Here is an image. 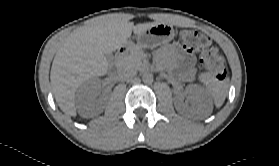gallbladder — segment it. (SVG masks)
I'll use <instances>...</instances> for the list:
<instances>
[{
  "mask_svg": "<svg viewBox=\"0 0 279 166\" xmlns=\"http://www.w3.org/2000/svg\"><path fill=\"white\" fill-rule=\"evenodd\" d=\"M105 58H106V60L109 62V63H111V62H113V60H114V56H113V54L112 53H105Z\"/></svg>",
  "mask_w": 279,
  "mask_h": 166,
  "instance_id": "gallbladder-1",
  "label": "gallbladder"
}]
</instances>
